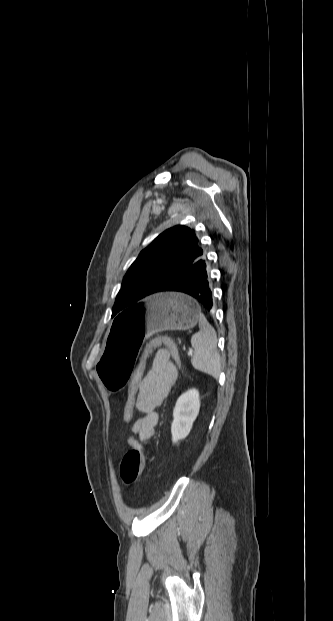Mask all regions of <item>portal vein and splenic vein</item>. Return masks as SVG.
Segmentation results:
<instances>
[{
  "instance_id": "18ae733b",
  "label": "portal vein and splenic vein",
  "mask_w": 333,
  "mask_h": 621,
  "mask_svg": "<svg viewBox=\"0 0 333 621\" xmlns=\"http://www.w3.org/2000/svg\"><path fill=\"white\" fill-rule=\"evenodd\" d=\"M192 353H193V350H189V351H188V355H189V356H191V355H192Z\"/></svg>"
}]
</instances>
